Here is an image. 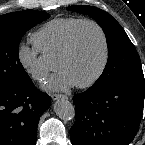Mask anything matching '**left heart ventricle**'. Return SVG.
Segmentation results:
<instances>
[{
	"label": "left heart ventricle",
	"instance_id": "1",
	"mask_svg": "<svg viewBox=\"0 0 145 145\" xmlns=\"http://www.w3.org/2000/svg\"><path fill=\"white\" fill-rule=\"evenodd\" d=\"M104 55L100 33L92 25L79 28L72 51L63 58L55 59V69L65 71L75 84L88 81L99 69Z\"/></svg>",
	"mask_w": 145,
	"mask_h": 145
}]
</instances>
